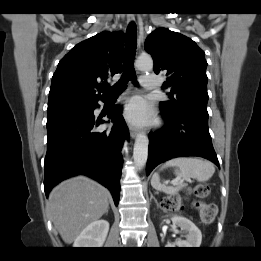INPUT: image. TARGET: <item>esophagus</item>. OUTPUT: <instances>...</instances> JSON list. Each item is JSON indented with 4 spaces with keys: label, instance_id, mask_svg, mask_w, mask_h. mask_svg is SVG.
<instances>
[{
    "label": "esophagus",
    "instance_id": "34e87169",
    "mask_svg": "<svg viewBox=\"0 0 261 261\" xmlns=\"http://www.w3.org/2000/svg\"><path fill=\"white\" fill-rule=\"evenodd\" d=\"M127 20H128V22L134 21L135 20L134 15H129ZM128 127H129L131 137L135 138L138 135V129L131 124H129Z\"/></svg>",
    "mask_w": 261,
    "mask_h": 261
}]
</instances>
